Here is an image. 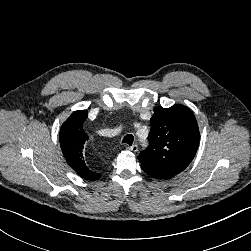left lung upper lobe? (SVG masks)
Returning a JSON list of instances; mask_svg holds the SVG:
<instances>
[{
  "mask_svg": "<svg viewBox=\"0 0 251 251\" xmlns=\"http://www.w3.org/2000/svg\"><path fill=\"white\" fill-rule=\"evenodd\" d=\"M149 146L139 154L142 166L178 174L193 160L199 146V129L195 116L185 106L154 108L150 119Z\"/></svg>",
  "mask_w": 251,
  "mask_h": 251,
  "instance_id": "left-lung-upper-lobe-1",
  "label": "left lung upper lobe"
}]
</instances>
